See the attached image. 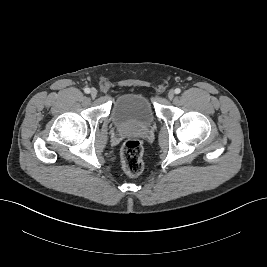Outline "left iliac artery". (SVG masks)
<instances>
[{
	"label": "left iliac artery",
	"mask_w": 267,
	"mask_h": 267,
	"mask_svg": "<svg viewBox=\"0 0 267 267\" xmlns=\"http://www.w3.org/2000/svg\"><path fill=\"white\" fill-rule=\"evenodd\" d=\"M180 92H181V89H180V88H176V89H175V93H176V94H179Z\"/></svg>",
	"instance_id": "left-iliac-artery-1"
}]
</instances>
